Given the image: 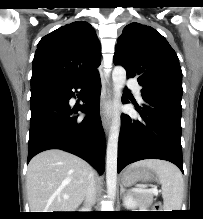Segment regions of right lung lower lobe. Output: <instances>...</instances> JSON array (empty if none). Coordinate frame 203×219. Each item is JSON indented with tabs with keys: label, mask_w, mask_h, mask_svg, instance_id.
<instances>
[{
	"label": "right lung lower lobe",
	"mask_w": 203,
	"mask_h": 219,
	"mask_svg": "<svg viewBox=\"0 0 203 219\" xmlns=\"http://www.w3.org/2000/svg\"><path fill=\"white\" fill-rule=\"evenodd\" d=\"M85 89L83 105L70 106L73 89ZM99 73L87 78L47 80L31 86V119L27 163L38 153L61 149L104 171L105 135L100 118ZM87 116L78 119L75 114Z\"/></svg>",
	"instance_id": "obj_1"
}]
</instances>
